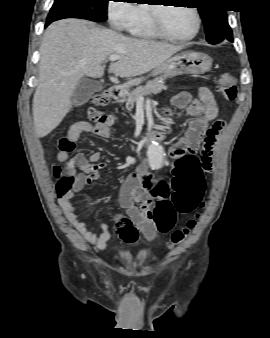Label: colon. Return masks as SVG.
I'll return each mask as SVG.
<instances>
[{"mask_svg":"<svg viewBox=\"0 0 270 338\" xmlns=\"http://www.w3.org/2000/svg\"><path fill=\"white\" fill-rule=\"evenodd\" d=\"M216 90L218 93L225 96L227 99H234L236 96V80L235 78L228 73H221L218 77ZM110 103L109 97L105 93H97L91 98V106L88 109V114L94 122L102 124H111L113 122L110 116L102 115L98 112V109L108 106ZM214 126L222 127V122L217 121ZM208 132L205 130H200L196 133L197 140L206 141ZM60 151L71 152L73 149V143L64 137L60 140L59 145ZM202 156L204 161L202 162V167L209 171L211 169L210 154L211 150L208 146H204L202 151ZM53 176L56 180V184L59 187V190H64L68 183L75 176L73 167L64 163V165H55L53 167ZM202 185L203 180L199 171H196L192 178L190 179L188 185H182L179 183L173 184V193L168 198L166 195V201L159 203L154 207L152 218L155 222L161 224L163 227H168L175 214L187 213L193 211L196 207L202 204ZM171 201V203H169ZM119 223H126L130 232H134L132 226L129 225V222L124 218H119ZM196 226V219H190L186 226L182 229L175 231L172 234L169 245H176L183 243L188 236L191 234L192 230Z\"/></svg>","mask_w":270,"mask_h":338,"instance_id":"colon-1","label":"colon"}]
</instances>
